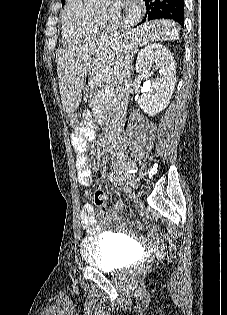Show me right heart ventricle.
Wrapping results in <instances>:
<instances>
[{"label":"right heart ventricle","mask_w":227,"mask_h":315,"mask_svg":"<svg viewBox=\"0 0 227 315\" xmlns=\"http://www.w3.org/2000/svg\"><path fill=\"white\" fill-rule=\"evenodd\" d=\"M62 41L73 46L96 36L102 26L97 12L86 6L83 0H66L61 14Z\"/></svg>","instance_id":"right-heart-ventricle-1"}]
</instances>
